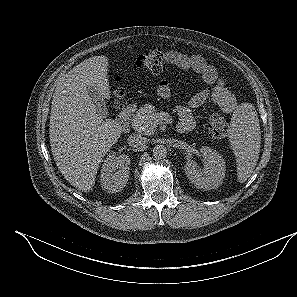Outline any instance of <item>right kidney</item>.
I'll list each match as a JSON object with an SVG mask.
<instances>
[{"label": "right kidney", "instance_id": "1", "mask_svg": "<svg viewBox=\"0 0 297 297\" xmlns=\"http://www.w3.org/2000/svg\"><path fill=\"white\" fill-rule=\"evenodd\" d=\"M130 158L127 155L116 156L109 153L101 170V186L109 193L121 191L129 178Z\"/></svg>", "mask_w": 297, "mask_h": 297}]
</instances>
